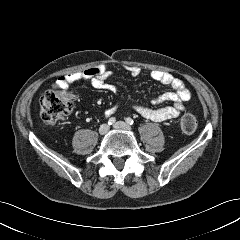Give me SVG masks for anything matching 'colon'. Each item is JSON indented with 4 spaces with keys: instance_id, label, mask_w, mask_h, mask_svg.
I'll use <instances>...</instances> for the list:
<instances>
[{
    "instance_id": "5ec220e1",
    "label": "colon",
    "mask_w": 240,
    "mask_h": 240,
    "mask_svg": "<svg viewBox=\"0 0 240 240\" xmlns=\"http://www.w3.org/2000/svg\"><path fill=\"white\" fill-rule=\"evenodd\" d=\"M74 95L62 89L48 90L40 101V119L43 124L51 126L65 119L73 110ZM180 127L185 133H193L197 128V120L192 114H184Z\"/></svg>"
}]
</instances>
